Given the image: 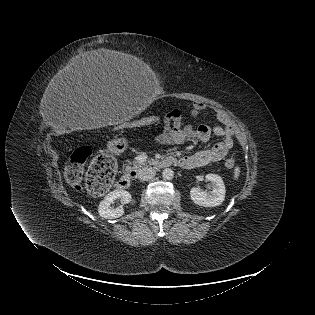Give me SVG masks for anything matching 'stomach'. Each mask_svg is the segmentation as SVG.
<instances>
[{
    "label": "stomach",
    "instance_id": "stomach-1",
    "mask_svg": "<svg viewBox=\"0 0 315 315\" xmlns=\"http://www.w3.org/2000/svg\"><path fill=\"white\" fill-rule=\"evenodd\" d=\"M109 148L115 156L123 157L131 151L132 143L126 135L118 134L110 140Z\"/></svg>",
    "mask_w": 315,
    "mask_h": 315
}]
</instances>
